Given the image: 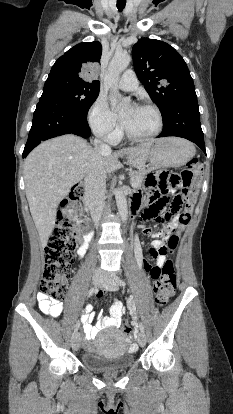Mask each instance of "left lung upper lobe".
I'll use <instances>...</instances> for the list:
<instances>
[{
    "label": "left lung upper lobe",
    "instance_id": "left-lung-upper-lobe-1",
    "mask_svg": "<svg viewBox=\"0 0 233 414\" xmlns=\"http://www.w3.org/2000/svg\"><path fill=\"white\" fill-rule=\"evenodd\" d=\"M134 69L162 118L180 100L196 97L193 79L181 55L169 44L142 38L132 49Z\"/></svg>",
    "mask_w": 233,
    "mask_h": 414
}]
</instances>
